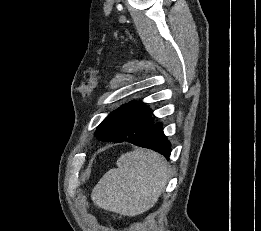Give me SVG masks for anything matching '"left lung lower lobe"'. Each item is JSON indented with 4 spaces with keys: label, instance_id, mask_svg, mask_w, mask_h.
<instances>
[{
    "label": "left lung lower lobe",
    "instance_id": "1",
    "mask_svg": "<svg viewBox=\"0 0 261 231\" xmlns=\"http://www.w3.org/2000/svg\"><path fill=\"white\" fill-rule=\"evenodd\" d=\"M124 141L133 143L140 147L152 149L162 154L167 159L171 154V144L163 132L161 122L154 123L149 132L143 138L136 139L127 137L114 140L115 143Z\"/></svg>",
    "mask_w": 261,
    "mask_h": 231
}]
</instances>
